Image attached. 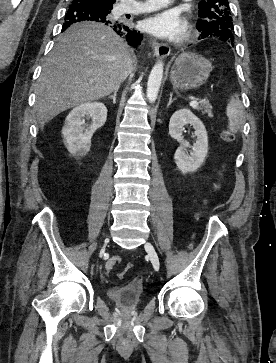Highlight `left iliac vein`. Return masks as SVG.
I'll use <instances>...</instances> for the list:
<instances>
[{"instance_id": "left-iliac-vein-1", "label": "left iliac vein", "mask_w": 276, "mask_h": 363, "mask_svg": "<svg viewBox=\"0 0 276 363\" xmlns=\"http://www.w3.org/2000/svg\"><path fill=\"white\" fill-rule=\"evenodd\" d=\"M145 249L150 257L154 269L158 271L160 267V262L156 250L154 249L153 245L149 242L145 244Z\"/></svg>"}]
</instances>
